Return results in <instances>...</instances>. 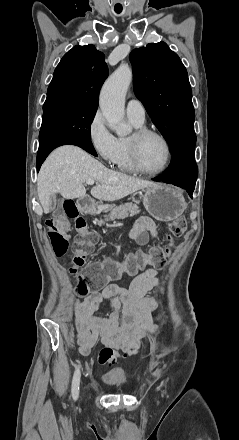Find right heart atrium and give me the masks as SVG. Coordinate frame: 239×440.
<instances>
[{
	"instance_id": "obj_1",
	"label": "right heart atrium",
	"mask_w": 239,
	"mask_h": 440,
	"mask_svg": "<svg viewBox=\"0 0 239 440\" xmlns=\"http://www.w3.org/2000/svg\"><path fill=\"white\" fill-rule=\"evenodd\" d=\"M88 141L95 153L107 164H115L120 153V141L109 130L100 110L90 119L87 127Z\"/></svg>"
}]
</instances>
